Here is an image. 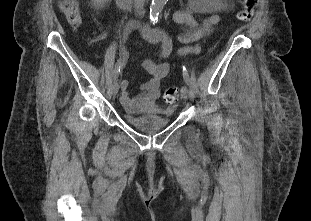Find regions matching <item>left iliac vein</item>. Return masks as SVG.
<instances>
[{"instance_id": "4c4485c4", "label": "left iliac vein", "mask_w": 311, "mask_h": 221, "mask_svg": "<svg viewBox=\"0 0 311 221\" xmlns=\"http://www.w3.org/2000/svg\"><path fill=\"white\" fill-rule=\"evenodd\" d=\"M189 95H190L189 89L186 86H183L181 88V98L186 101L188 100Z\"/></svg>"}]
</instances>
